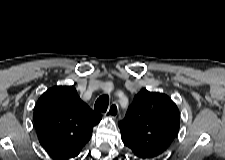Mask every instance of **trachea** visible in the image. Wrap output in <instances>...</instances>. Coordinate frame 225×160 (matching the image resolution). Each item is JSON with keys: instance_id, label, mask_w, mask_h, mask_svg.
Wrapping results in <instances>:
<instances>
[{"instance_id": "3493384b", "label": "trachea", "mask_w": 225, "mask_h": 160, "mask_svg": "<svg viewBox=\"0 0 225 160\" xmlns=\"http://www.w3.org/2000/svg\"><path fill=\"white\" fill-rule=\"evenodd\" d=\"M109 104V97L107 95L100 96L94 105V109L99 112H106Z\"/></svg>"}]
</instances>
